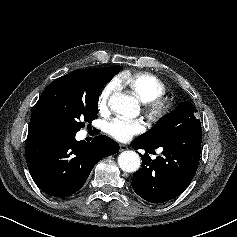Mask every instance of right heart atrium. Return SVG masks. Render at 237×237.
Masks as SVG:
<instances>
[{"label": "right heart atrium", "instance_id": "obj_1", "mask_svg": "<svg viewBox=\"0 0 237 237\" xmlns=\"http://www.w3.org/2000/svg\"><path fill=\"white\" fill-rule=\"evenodd\" d=\"M117 84L113 81L110 83H107L100 91L98 95V109L100 111H106L108 108L109 100L112 96V94L117 89Z\"/></svg>", "mask_w": 237, "mask_h": 237}]
</instances>
